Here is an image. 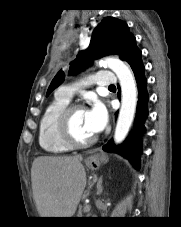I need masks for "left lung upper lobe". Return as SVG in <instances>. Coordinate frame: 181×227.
Segmentation results:
<instances>
[{
	"label": "left lung upper lobe",
	"instance_id": "5c2ea615",
	"mask_svg": "<svg viewBox=\"0 0 181 227\" xmlns=\"http://www.w3.org/2000/svg\"><path fill=\"white\" fill-rule=\"evenodd\" d=\"M135 45L136 39L125 22L117 18L106 17L93 32L88 49L79 52L77 59L71 63L70 74L84 69L92 59L106 55H119L121 60H125ZM64 78L65 73L60 70L52 80L47 96L63 82Z\"/></svg>",
	"mask_w": 181,
	"mask_h": 227
}]
</instances>
